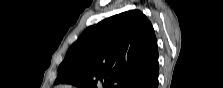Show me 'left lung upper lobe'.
<instances>
[{
    "mask_svg": "<svg viewBox=\"0 0 223 88\" xmlns=\"http://www.w3.org/2000/svg\"><path fill=\"white\" fill-rule=\"evenodd\" d=\"M157 61L150 21L141 11L131 10L88 27L69 48L55 84L128 88Z\"/></svg>",
    "mask_w": 223,
    "mask_h": 88,
    "instance_id": "left-lung-upper-lobe-1",
    "label": "left lung upper lobe"
}]
</instances>
